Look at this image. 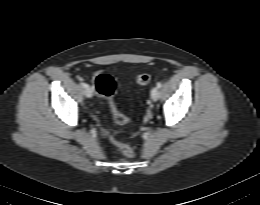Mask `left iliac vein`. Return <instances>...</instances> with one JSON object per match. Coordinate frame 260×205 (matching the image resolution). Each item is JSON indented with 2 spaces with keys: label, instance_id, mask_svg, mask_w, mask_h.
Instances as JSON below:
<instances>
[{
  "label": "left iliac vein",
  "instance_id": "obj_1",
  "mask_svg": "<svg viewBox=\"0 0 260 205\" xmlns=\"http://www.w3.org/2000/svg\"><path fill=\"white\" fill-rule=\"evenodd\" d=\"M160 97V91L158 87H153L151 90V99L157 101Z\"/></svg>",
  "mask_w": 260,
  "mask_h": 205
}]
</instances>
